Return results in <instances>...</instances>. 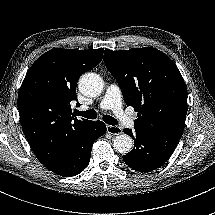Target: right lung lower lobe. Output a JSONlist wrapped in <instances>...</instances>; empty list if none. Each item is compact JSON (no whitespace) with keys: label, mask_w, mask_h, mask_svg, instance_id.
Here are the masks:
<instances>
[{"label":"right lung lower lobe","mask_w":215,"mask_h":215,"mask_svg":"<svg viewBox=\"0 0 215 215\" xmlns=\"http://www.w3.org/2000/svg\"><path fill=\"white\" fill-rule=\"evenodd\" d=\"M106 133L102 121H89L72 132L61 160L49 170L65 177L75 176L87 167L94 141Z\"/></svg>","instance_id":"obj_1"}]
</instances>
